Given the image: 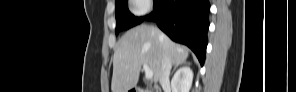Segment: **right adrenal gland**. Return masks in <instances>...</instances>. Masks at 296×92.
I'll return each instance as SVG.
<instances>
[{
  "mask_svg": "<svg viewBox=\"0 0 296 92\" xmlns=\"http://www.w3.org/2000/svg\"><path fill=\"white\" fill-rule=\"evenodd\" d=\"M187 64H188V63H187L186 61H184V62H182V63L176 65V66L174 67L173 71H175L176 68H177L179 65H187Z\"/></svg>",
  "mask_w": 296,
  "mask_h": 92,
  "instance_id": "obj_1",
  "label": "right adrenal gland"
}]
</instances>
